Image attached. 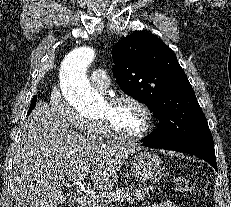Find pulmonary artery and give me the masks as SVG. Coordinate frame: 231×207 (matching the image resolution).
<instances>
[{"label": "pulmonary artery", "mask_w": 231, "mask_h": 207, "mask_svg": "<svg viewBox=\"0 0 231 207\" xmlns=\"http://www.w3.org/2000/svg\"><path fill=\"white\" fill-rule=\"evenodd\" d=\"M92 85L98 90H105L110 84V78L107 71L103 68H96L90 74Z\"/></svg>", "instance_id": "pulmonary-artery-1"}]
</instances>
